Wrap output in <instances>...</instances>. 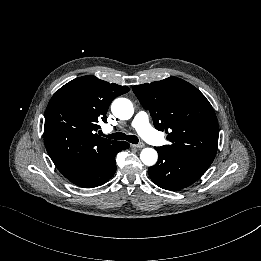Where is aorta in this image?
I'll return each mask as SVG.
<instances>
[{"label":"aorta","mask_w":261,"mask_h":261,"mask_svg":"<svg viewBox=\"0 0 261 261\" xmlns=\"http://www.w3.org/2000/svg\"><path fill=\"white\" fill-rule=\"evenodd\" d=\"M111 111L120 120H128L134 114L133 104L126 98L115 99L111 105ZM140 159L145 165L152 166L157 162L158 154L153 148H144L141 151Z\"/></svg>","instance_id":"762f6f07"}]
</instances>
